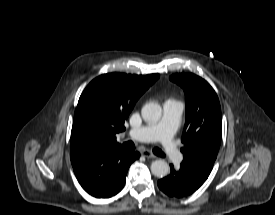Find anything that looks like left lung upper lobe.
<instances>
[{"label":"left lung upper lobe","instance_id":"5c2ea615","mask_svg":"<svg viewBox=\"0 0 275 215\" xmlns=\"http://www.w3.org/2000/svg\"><path fill=\"white\" fill-rule=\"evenodd\" d=\"M170 80L180 85L185 93L186 122L182 136V163L209 175L222 137L218 97L207 81L194 74H175L170 76Z\"/></svg>","mask_w":275,"mask_h":215}]
</instances>
